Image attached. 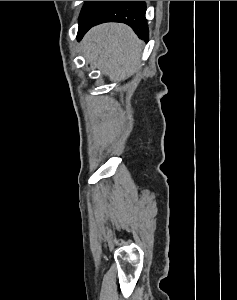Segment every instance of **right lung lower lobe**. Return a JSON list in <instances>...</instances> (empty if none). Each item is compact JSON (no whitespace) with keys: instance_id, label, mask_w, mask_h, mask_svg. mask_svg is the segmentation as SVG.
Masks as SVG:
<instances>
[{"instance_id":"1","label":"right lung lower lobe","mask_w":237,"mask_h":300,"mask_svg":"<svg viewBox=\"0 0 237 300\" xmlns=\"http://www.w3.org/2000/svg\"><path fill=\"white\" fill-rule=\"evenodd\" d=\"M145 12L144 1H115L97 21L78 31V39L80 40L95 25L104 22H121L132 27L139 38L146 41L149 33Z\"/></svg>"}]
</instances>
